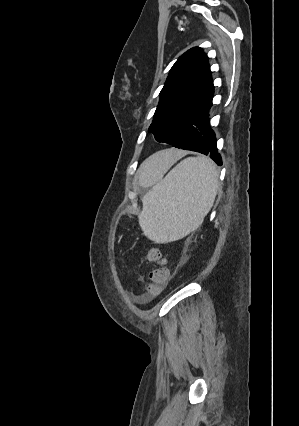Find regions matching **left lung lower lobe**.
Segmentation results:
<instances>
[{
  "label": "left lung lower lobe",
  "mask_w": 299,
  "mask_h": 426,
  "mask_svg": "<svg viewBox=\"0 0 299 426\" xmlns=\"http://www.w3.org/2000/svg\"><path fill=\"white\" fill-rule=\"evenodd\" d=\"M211 106L212 100L191 118L171 145L210 155L217 165L220 166L222 165V159L217 151L216 136L210 128L208 119Z\"/></svg>",
  "instance_id": "0a47b994"
}]
</instances>
